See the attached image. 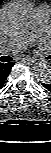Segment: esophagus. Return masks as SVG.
<instances>
[{"mask_svg": "<svg viewBox=\"0 0 51 153\" xmlns=\"http://www.w3.org/2000/svg\"><path fill=\"white\" fill-rule=\"evenodd\" d=\"M22 61L24 63H28V64H32V63L36 62V60L34 58H23Z\"/></svg>", "mask_w": 51, "mask_h": 153, "instance_id": "obj_1", "label": "esophagus"}]
</instances>
